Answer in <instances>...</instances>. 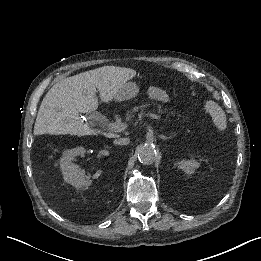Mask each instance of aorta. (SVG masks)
<instances>
[{
    "mask_svg": "<svg viewBox=\"0 0 261 261\" xmlns=\"http://www.w3.org/2000/svg\"><path fill=\"white\" fill-rule=\"evenodd\" d=\"M137 154L139 161L144 165H151L156 159L155 147L150 144L140 145Z\"/></svg>",
    "mask_w": 261,
    "mask_h": 261,
    "instance_id": "aorta-1",
    "label": "aorta"
}]
</instances>
